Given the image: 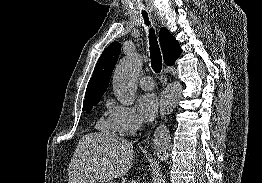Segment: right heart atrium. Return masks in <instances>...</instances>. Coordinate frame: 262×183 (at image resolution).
<instances>
[{"mask_svg":"<svg viewBox=\"0 0 262 183\" xmlns=\"http://www.w3.org/2000/svg\"><path fill=\"white\" fill-rule=\"evenodd\" d=\"M109 121L122 136H133L142 127V121L134 108L109 102Z\"/></svg>","mask_w":262,"mask_h":183,"instance_id":"1","label":"right heart atrium"}]
</instances>
